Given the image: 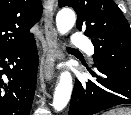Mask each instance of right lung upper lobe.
Here are the masks:
<instances>
[{"instance_id": "right-lung-upper-lobe-1", "label": "right lung upper lobe", "mask_w": 131, "mask_h": 115, "mask_svg": "<svg viewBox=\"0 0 131 115\" xmlns=\"http://www.w3.org/2000/svg\"><path fill=\"white\" fill-rule=\"evenodd\" d=\"M41 14L40 0H0V52L32 41L34 35L29 30Z\"/></svg>"}]
</instances>
